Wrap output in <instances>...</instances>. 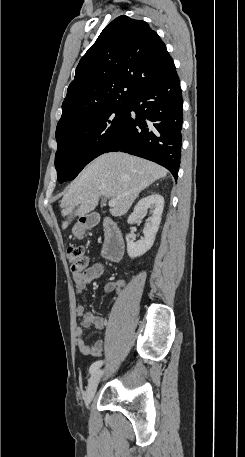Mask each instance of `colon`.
I'll return each instance as SVG.
<instances>
[{
  "mask_svg": "<svg viewBox=\"0 0 245 457\" xmlns=\"http://www.w3.org/2000/svg\"><path fill=\"white\" fill-rule=\"evenodd\" d=\"M67 255L73 270L82 271L86 267L87 257L82 246H70Z\"/></svg>",
  "mask_w": 245,
  "mask_h": 457,
  "instance_id": "obj_1",
  "label": "colon"
}]
</instances>
